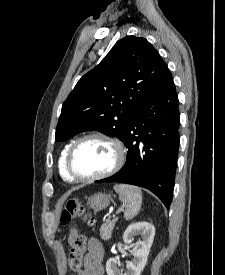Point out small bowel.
<instances>
[{"label":"small bowel","mask_w":225,"mask_h":275,"mask_svg":"<svg viewBox=\"0 0 225 275\" xmlns=\"http://www.w3.org/2000/svg\"><path fill=\"white\" fill-rule=\"evenodd\" d=\"M84 249H86V254L83 259V268L77 275H104L103 250L100 243L91 239Z\"/></svg>","instance_id":"obj_1"}]
</instances>
